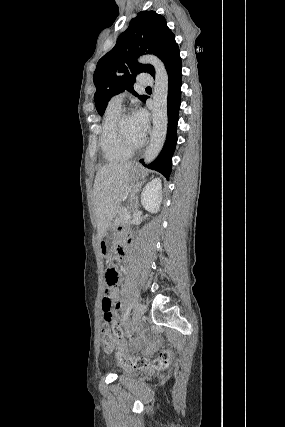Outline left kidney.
Returning <instances> with one entry per match:
<instances>
[{"label":"left kidney","instance_id":"left-kidney-1","mask_svg":"<svg viewBox=\"0 0 285 427\" xmlns=\"http://www.w3.org/2000/svg\"><path fill=\"white\" fill-rule=\"evenodd\" d=\"M162 202V185L160 178L149 182L142 191L141 203L143 207L152 213L159 211Z\"/></svg>","mask_w":285,"mask_h":427}]
</instances>
